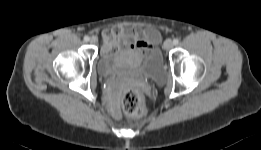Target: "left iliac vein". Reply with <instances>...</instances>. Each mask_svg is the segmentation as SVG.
<instances>
[{"label":"left iliac vein","instance_id":"obj_1","mask_svg":"<svg viewBox=\"0 0 261 150\" xmlns=\"http://www.w3.org/2000/svg\"><path fill=\"white\" fill-rule=\"evenodd\" d=\"M172 47H173V41L170 40V39L166 40L165 43H164V48H165V50H169V49H171Z\"/></svg>","mask_w":261,"mask_h":150}]
</instances>
